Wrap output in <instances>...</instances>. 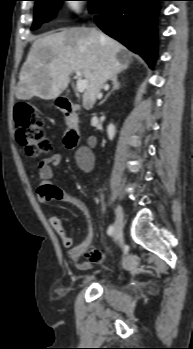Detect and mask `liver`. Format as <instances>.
<instances>
[{"instance_id": "liver-1", "label": "liver", "mask_w": 193, "mask_h": 349, "mask_svg": "<svg viewBox=\"0 0 193 349\" xmlns=\"http://www.w3.org/2000/svg\"><path fill=\"white\" fill-rule=\"evenodd\" d=\"M125 52L118 41L91 28L45 34L31 46L20 71L16 97L55 99L67 88L70 75L79 71L88 80L83 106L91 109L106 81L127 69L128 64L118 57Z\"/></svg>"}]
</instances>
